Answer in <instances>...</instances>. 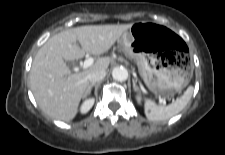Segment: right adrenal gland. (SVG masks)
<instances>
[{
    "label": "right adrenal gland",
    "mask_w": 225,
    "mask_h": 155,
    "mask_svg": "<svg viewBox=\"0 0 225 155\" xmlns=\"http://www.w3.org/2000/svg\"><path fill=\"white\" fill-rule=\"evenodd\" d=\"M95 86V84H90L87 88V91H86V96L89 95L91 93V89L92 87Z\"/></svg>",
    "instance_id": "obj_1"
}]
</instances>
